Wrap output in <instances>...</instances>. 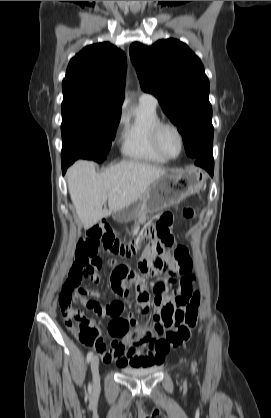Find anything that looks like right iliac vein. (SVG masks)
<instances>
[{
    "label": "right iliac vein",
    "instance_id": "obj_1",
    "mask_svg": "<svg viewBox=\"0 0 271 418\" xmlns=\"http://www.w3.org/2000/svg\"><path fill=\"white\" fill-rule=\"evenodd\" d=\"M91 372L93 376V387L98 389L100 385V376H99V358L94 356L91 360Z\"/></svg>",
    "mask_w": 271,
    "mask_h": 418
}]
</instances>
